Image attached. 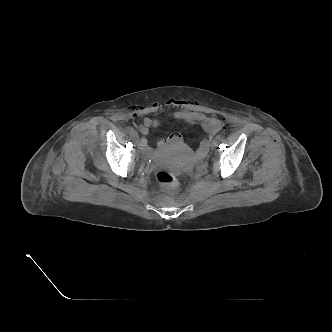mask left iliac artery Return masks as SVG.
<instances>
[{
  "instance_id": "1",
  "label": "left iliac artery",
  "mask_w": 332,
  "mask_h": 332,
  "mask_svg": "<svg viewBox=\"0 0 332 332\" xmlns=\"http://www.w3.org/2000/svg\"><path fill=\"white\" fill-rule=\"evenodd\" d=\"M215 139H216V141L219 143V142H220V140H221V135H220V134H219V135H217Z\"/></svg>"
}]
</instances>
